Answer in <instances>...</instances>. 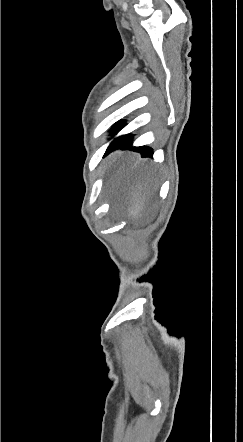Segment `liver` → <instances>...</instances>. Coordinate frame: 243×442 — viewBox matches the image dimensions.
<instances>
[{
	"label": "liver",
	"mask_w": 243,
	"mask_h": 442,
	"mask_svg": "<svg viewBox=\"0 0 243 442\" xmlns=\"http://www.w3.org/2000/svg\"><path fill=\"white\" fill-rule=\"evenodd\" d=\"M131 205L129 208V217L136 219L138 216H141V212L144 208V197H141L140 192H137V195L133 194V203L131 202Z\"/></svg>",
	"instance_id": "obj_1"
}]
</instances>
